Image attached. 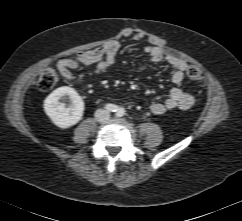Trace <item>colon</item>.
I'll return each mask as SVG.
<instances>
[{
	"instance_id": "1",
	"label": "colon",
	"mask_w": 242,
	"mask_h": 221,
	"mask_svg": "<svg viewBox=\"0 0 242 221\" xmlns=\"http://www.w3.org/2000/svg\"><path fill=\"white\" fill-rule=\"evenodd\" d=\"M187 75L190 80L200 82L203 80L201 69L195 65H190L187 69ZM59 80L58 72L55 68L49 67L40 74L37 85L41 91H49L54 88Z\"/></svg>"
}]
</instances>
